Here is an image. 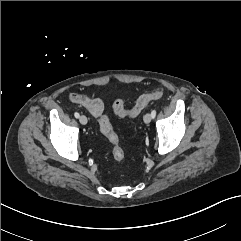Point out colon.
I'll return each mask as SVG.
<instances>
[{"label":"colon","mask_w":241,"mask_h":241,"mask_svg":"<svg viewBox=\"0 0 241 241\" xmlns=\"http://www.w3.org/2000/svg\"><path fill=\"white\" fill-rule=\"evenodd\" d=\"M163 94L162 87H156L149 93L139 97L132 108H126L124 102L120 99L113 103V110L121 118L133 117L140 114L151 102L161 98ZM99 126L102 134L112 144V155L115 161L121 162L124 159V150L120 145L118 135L115 133L109 117L106 114L99 116Z\"/></svg>","instance_id":"5ec220e1"}]
</instances>
